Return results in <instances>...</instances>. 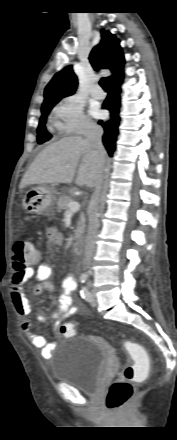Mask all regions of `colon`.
I'll use <instances>...</instances> for the list:
<instances>
[{
  "mask_svg": "<svg viewBox=\"0 0 177 440\" xmlns=\"http://www.w3.org/2000/svg\"><path fill=\"white\" fill-rule=\"evenodd\" d=\"M41 252L27 238L18 239L13 245V266L17 271H23L38 263ZM65 337L75 334V324L67 322L60 328ZM123 347L130 353L133 363L126 365L120 377L109 387L105 403L110 410H121L131 399L134 383L143 380L150 370L149 355L140 345L126 341Z\"/></svg>",
  "mask_w": 177,
  "mask_h": 440,
  "instance_id": "colon-1",
  "label": "colon"
}]
</instances>
